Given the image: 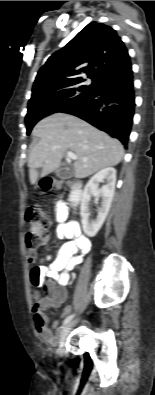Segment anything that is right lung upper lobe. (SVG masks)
Wrapping results in <instances>:
<instances>
[{"mask_svg":"<svg viewBox=\"0 0 155 395\" xmlns=\"http://www.w3.org/2000/svg\"><path fill=\"white\" fill-rule=\"evenodd\" d=\"M130 66L128 50L116 31L92 22L49 57L38 71L32 95L50 85L82 79L84 74L99 81L112 71Z\"/></svg>","mask_w":155,"mask_h":395,"instance_id":"1","label":"right lung upper lobe"}]
</instances>
